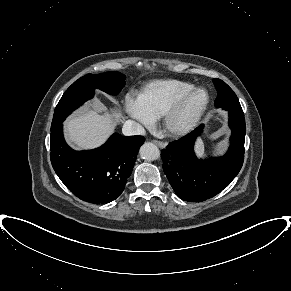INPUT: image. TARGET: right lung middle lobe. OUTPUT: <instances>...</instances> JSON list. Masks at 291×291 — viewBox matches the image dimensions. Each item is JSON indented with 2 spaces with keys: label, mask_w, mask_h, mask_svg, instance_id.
Returning <instances> with one entry per match:
<instances>
[{
  "label": "right lung middle lobe",
  "mask_w": 291,
  "mask_h": 291,
  "mask_svg": "<svg viewBox=\"0 0 291 291\" xmlns=\"http://www.w3.org/2000/svg\"><path fill=\"white\" fill-rule=\"evenodd\" d=\"M125 76L119 72L87 74L75 81L63 94L55 108L51 130L62 124L65 118L94 96V90L100 89L108 94H117L125 85Z\"/></svg>",
  "instance_id": "dd1d6c3e"
}]
</instances>
